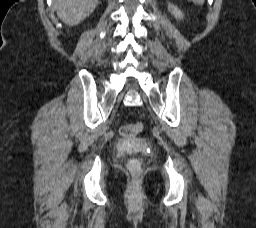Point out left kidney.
<instances>
[{
	"mask_svg": "<svg viewBox=\"0 0 256 228\" xmlns=\"http://www.w3.org/2000/svg\"><path fill=\"white\" fill-rule=\"evenodd\" d=\"M168 10L171 12V14L174 15L176 19H183V13L176 6L169 4Z\"/></svg>",
	"mask_w": 256,
	"mask_h": 228,
	"instance_id": "1",
	"label": "left kidney"
}]
</instances>
